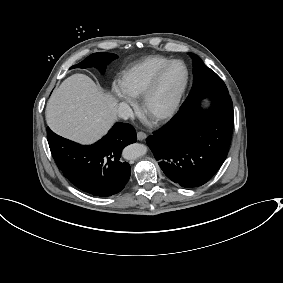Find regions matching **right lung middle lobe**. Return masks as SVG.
<instances>
[{
  "label": "right lung middle lobe",
  "instance_id": "dd1d6c3e",
  "mask_svg": "<svg viewBox=\"0 0 283 283\" xmlns=\"http://www.w3.org/2000/svg\"><path fill=\"white\" fill-rule=\"evenodd\" d=\"M117 58V55L111 53H94L84 59L77 65L70 67L72 68H88V67H97L101 72L105 71L106 65Z\"/></svg>",
  "mask_w": 283,
  "mask_h": 283
}]
</instances>
